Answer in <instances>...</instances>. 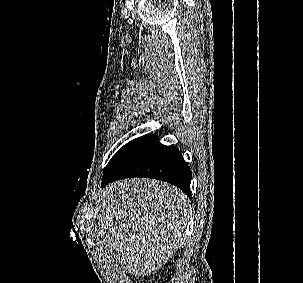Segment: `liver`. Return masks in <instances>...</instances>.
<instances>
[{"instance_id": "6515ba94", "label": "liver", "mask_w": 303, "mask_h": 283, "mask_svg": "<svg viewBox=\"0 0 303 283\" xmlns=\"http://www.w3.org/2000/svg\"><path fill=\"white\" fill-rule=\"evenodd\" d=\"M100 201L99 234L105 250L135 277L159 270L185 230L187 196L165 182L134 178L107 186Z\"/></svg>"}]
</instances>
